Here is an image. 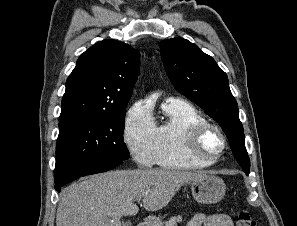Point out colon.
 I'll return each mask as SVG.
<instances>
[{"label": "colon", "mask_w": 297, "mask_h": 226, "mask_svg": "<svg viewBox=\"0 0 297 226\" xmlns=\"http://www.w3.org/2000/svg\"><path fill=\"white\" fill-rule=\"evenodd\" d=\"M236 226H257V223L248 213H240L237 217Z\"/></svg>", "instance_id": "colon-1"}]
</instances>
